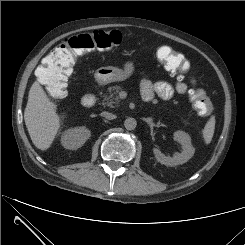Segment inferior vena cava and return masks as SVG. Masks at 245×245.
<instances>
[{
    "instance_id": "inferior-vena-cava-1",
    "label": "inferior vena cava",
    "mask_w": 245,
    "mask_h": 245,
    "mask_svg": "<svg viewBox=\"0 0 245 245\" xmlns=\"http://www.w3.org/2000/svg\"><path fill=\"white\" fill-rule=\"evenodd\" d=\"M102 116L109 120H113L116 118L114 114L109 113V112H102Z\"/></svg>"
}]
</instances>
